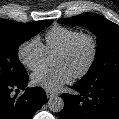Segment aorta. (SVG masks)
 I'll return each instance as SVG.
<instances>
[{"label": "aorta", "mask_w": 119, "mask_h": 119, "mask_svg": "<svg viewBox=\"0 0 119 119\" xmlns=\"http://www.w3.org/2000/svg\"><path fill=\"white\" fill-rule=\"evenodd\" d=\"M48 107L53 112H61L64 108V101L59 96L51 97L48 100Z\"/></svg>", "instance_id": "762f6f07"}]
</instances>
